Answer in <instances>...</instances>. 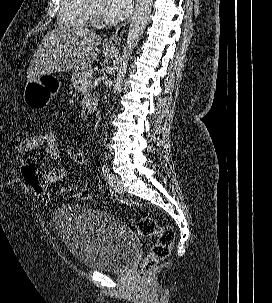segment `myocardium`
<instances>
[{
  "label": "myocardium",
  "mask_w": 272,
  "mask_h": 303,
  "mask_svg": "<svg viewBox=\"0 0 272 303\" xmlns=\"http://www.w3.org/2000/svg\"><path fill=\"white\" fill-rule=\"evenodd\" d=\"M89 12H90L91 19L95 23H97V24L102 23V21H103L102 14L93 4V0H89Z\"/></svg>",
  "instance_id": "f54148a6"
}]
</instances>
